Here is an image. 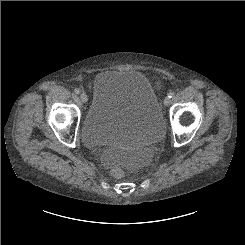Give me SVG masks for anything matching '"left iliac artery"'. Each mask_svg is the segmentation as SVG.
<instances>
[{
    "label": "left iliac artery",
    "mask_w": 245,
    "mask_h": 245,
    "mask_svg": "<svg viewBox=\"0 0 245 245\" xmlns=\"http://www.w3.org/2000/svg\"><path fill=\"white\" fill-rule=\"evenodd\" d=\"M173 96H174V92L171 91V92L168 93V97L169 98H172Z\"/></svg>",
    "instance_id": "left-iliac-artery-1"
}]
</instances>
